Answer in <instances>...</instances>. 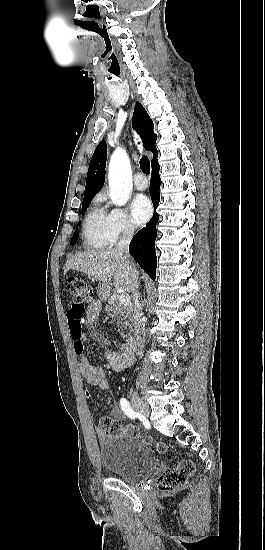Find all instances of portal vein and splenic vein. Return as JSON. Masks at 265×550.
Returning a JSON list of instances; mask_svg holds the SVG:
<instances>
[{"instance_id": "1", "label": "portal vein and splenic vein", "mask_w": 265, "mask_h": 550, "mask_svg": "<svg viewBox=\"0 0 265 550\" xmlns=\"http://www.w3.org/2000/svg\"><path fill=\"white\" fill-rule=\"evenodd\" d=\"M119 302L121 304H129L130 303V296L128 294H121L119 296Z\"/></svg>"}]
</instances>
